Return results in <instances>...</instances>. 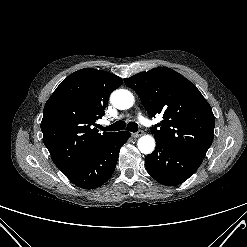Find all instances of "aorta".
<instances>
[{
  "mask_svg": "<svg viewBox=\"0 0 247 247\" xmlns=\"http://www.w3.org/2000/svg\"><path fill=\"white\" fill-rule=\"evenodd\" d=\"M110 101L117 109L126 110L133 106L134 96L128 90L118 89L111 94ZM137 146L141 153L150 154L155 148V139L151 135H144L139 138Z\"/></svg>",
  "mask_w": 247,
  "mask_h": 247,
  "instance_id": "762f6f07",
  "label": "aorta"
}]
</instances>
